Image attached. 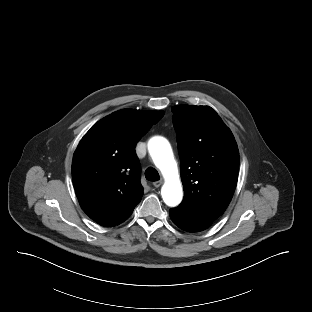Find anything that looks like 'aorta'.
Here are the masks:
<instances>
[{
	"instance_id": "1",
	"label": "aorta",
	"mask_w": 312,
	"mask_h": 312,
	"mask_svg": "<svg viewBox=\"0 0 312 312\" xmlns=\"http://www.w3.org/2000/svg\"><path fill=\"white\" fill-rule=\"evenodd\" d=\"M149 153L165 178V183L161 190L164 202L171 207L177 206L183 197L181 182L179 180L177 163L169 142L160 136H155L149 140Z\"/></svg>"
}]
</instances>
